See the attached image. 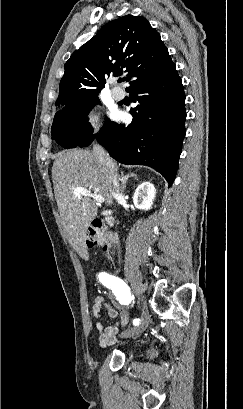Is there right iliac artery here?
Here are the masks:
<instances>
[{
  "label": "right iliac artery",
  "instance_id": "obj_1",
  "mask_svg": "<svg viewBox=\"0 0 243 409\" xmlns=\"http://www.w3.org/2000/svg\"><path fill=\"white\" fill-rule=\"evenodd\" d=\"M98 278L104 286L113 291L115 296L122 304H129L134 299V296L131 295L129 287L120 278L105 272L99 273ZM139 323V319L136 318L133 320L134 325H138Z\"/></svg>",
  "mask_w": 243,
  "mask_h": 409
}]
</instances>
